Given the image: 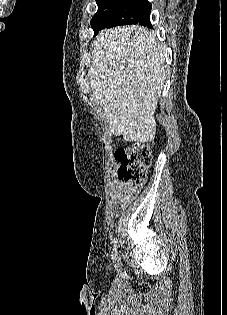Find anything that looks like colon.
<instances>
[{"label":"colon","mask_w":227,"mask_h":315,"mask_svg":"<svg viewBox=\"0 0 227 315\" xmlns=\"http://www.w3.org/2000/svg\"><path fill=\"white\" fill-rule=\"evenodd\" d=\"M118 166L116 177L119 181L140 189L147 176V169L152 161V149L148 144L136 143L126 149H118L114 153Z\"/></svg>","instance_id":"obj_1"}]
</instances>
